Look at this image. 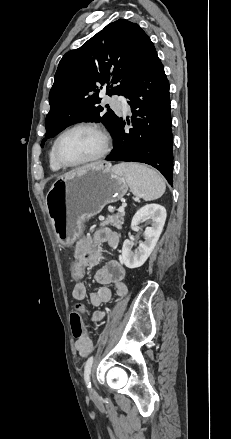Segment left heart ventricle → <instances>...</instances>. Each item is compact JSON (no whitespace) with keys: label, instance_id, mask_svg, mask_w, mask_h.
<instances>
[{"label":"left heart ventricle","instance_id":"1","mask_svg":"<svg viewBox=\"0 0 231 439\" xmlns=\"http://www.w3.org/2000/svg\"><path fill=\"white\" fill-rule=\"evenodd\" d=\"M102 146V138L97 132L78 129L62 138L59 150L62 158L67 162H79L95 156Z\"/></svg>","mask_w":231,"mask_h":439}]
</instances>
